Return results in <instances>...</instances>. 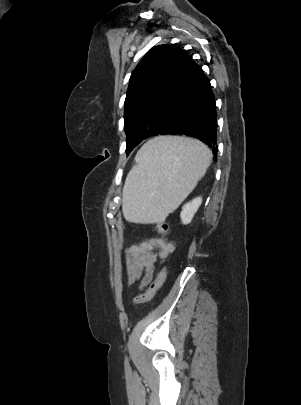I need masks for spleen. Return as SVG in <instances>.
Instances as JSON below:
<instances>
[{
  "mask_svg": "<svg viewBox=\"0 0 301 405\" xmlns=\"http://www.w3.org/2000/svg\"><path fill=\"white\" fill-rule=\"evenodd\" d=\"M198 140L158 136L138 151L123 188V214L130 222H162L195 188L211 164Z\"/></svg>",
  "mask_w": 301,
  "mask_h": 405,
  "instance_id": "spleen-1",
  "label": "spleen"
}]
</instances>
